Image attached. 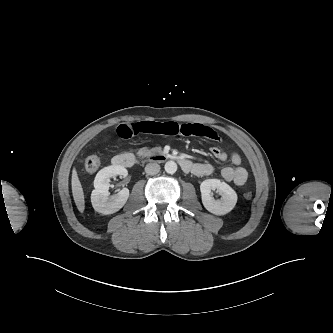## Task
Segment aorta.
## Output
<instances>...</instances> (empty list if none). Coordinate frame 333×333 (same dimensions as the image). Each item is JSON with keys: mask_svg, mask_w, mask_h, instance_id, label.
I'll return each mask as SVG.
<instances>
[{"mask_svg": "<svg viewBox=\"0 0 333 333\" xmlns=\"http://www.w3.org/2000/svg\"><path fill=\"white\" fill-rule=\"evenodd\" d=\"M164 169L168 174H174L177 171V164L174 161H168L165 163Z\"/></svg>", "mask_w": 333, "mask_h": 333, "instance_id": "1", "label": "aorta"}]
</instances>
